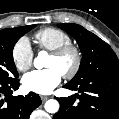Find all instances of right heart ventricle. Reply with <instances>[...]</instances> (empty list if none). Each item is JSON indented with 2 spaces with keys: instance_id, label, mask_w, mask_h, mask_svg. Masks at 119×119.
Listing matches in <instances>:
<instances>
[{
  "instance_id": "right-heart-ventricle-1",
  "label": "right heart ventricle",
  "mask_w": 119,
  "mask_h": 119,
  "mask_svg": "<svg viewBox=\"0 0 119 119\" xmlns=\"http://www.w3.org/2000/svg\"><path fill=\"white\" fill-rule=\"evenodd\" d=\"M34 38L39 49L47 51H52L71 43L69 34L55 27H47L39 30L35 33Z\"/></svg>"
}]
</instances>
